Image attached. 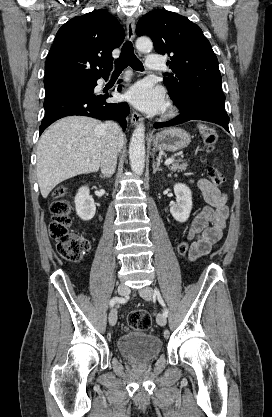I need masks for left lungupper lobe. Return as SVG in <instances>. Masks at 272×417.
<instances>
[{
  "label": "left lung upper lobe",
  "instance_id": "left-lung-upper-lobe-1",
  "mask_svg": "<svg viewBox=\"0 0 272 417\" xmlns=\"http://www.w3.org/2000/svg\"><path fill=\"white\" fill-rule=\"evenodd\" d=\"M136 33L148 35L155 50L170 57L173 73L164 84L174 102L192 97L225 110L218 60L198 25L177 13L155 10L138 21Z\"/></svg>",
  "mask_w": 272,
  "mask_h": 417
}]
</instances>
